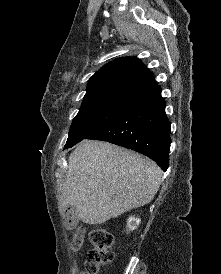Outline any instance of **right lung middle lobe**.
Instances as JSON below:
<instances>
[{
  "label": "right lung middle lobe",
  "instance_id": "1",
  "mask_svg": "<svg viewBox=\"0 0 221 274\" xmlns=\"http://www.w3.org/2000/svg\"><path fill=\"white\" fill-rule=\"evenodd\" d=\"M133 100L124 98L84 99L80 110L73 119L65 148H70L100 130Z\"/></svg>",
  "mask_w": 221,
  "mask_h": 274
}]
</instances>
